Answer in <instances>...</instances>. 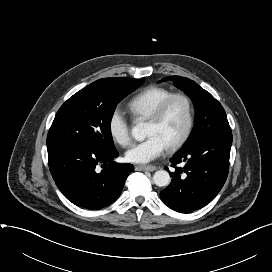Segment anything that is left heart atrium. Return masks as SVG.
Masks as SVG:
<instances>
[{"mask_svg": "<svg viewBox=\"0 0 272 272\" xmlns=\"http://www.w3.org/2000/svg\"><path fill=\"white\" fill-rule=\"evenodd\" d=\"M166 149L167 145L158 135H150L130 147L125 153V158L131 163L145 164L161 156Z\"/></svg>", "mask_w": 272, "mask_h": 272, "instance_id": "obj_1", "label": "left heart atrium"}]
</instances>
